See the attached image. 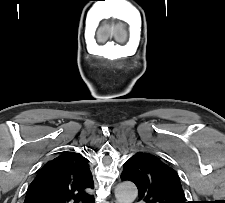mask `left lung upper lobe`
<instances>
[{
	"label": "left lung upper lobe",
	"instance_id": "obj_1",
	"mask_svg": "<svg viewBox=\"0 0 225 203\" xmlns=\"http://www.w3.org/2000/svg\"><path fill=\"white\" fill-rule=\"evenodd\" d=\"M121 179L135 183L146 203H186L176 171L150 153L138 152L127 160Z\"/></svg>",
	"mask_w": 225,
	"mask_h": 203
}]
</instances>
